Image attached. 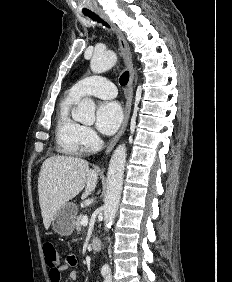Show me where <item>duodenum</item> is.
Wrapping results in <instances>:
<instances>
[{"label": "duodenum", "instance_id": "410a0bca", "mask_svg": "<svg viewBox=\"0 0 232 282\" xmlns=\"http://www.w3.org/2000/svg\"><path fill=\"white\" fill-rule=\"evenodd\" d=\"M101 246H102V244H101L100 239L93 238L91 240V248H92L93 251L99 252L101 250Z\"/></svg>", "mask_w": 232, "mask_h": 282}]
</instances>
